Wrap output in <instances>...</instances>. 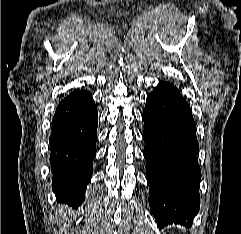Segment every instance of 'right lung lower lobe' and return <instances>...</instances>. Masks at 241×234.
I'll return each mask as SVG.
<instances>
[{"label":"right lung lower lobe","mask_w":241,"mask_h":234,"mask_svg":"<svg viewBox=\"0 0 241 234\" xmlns=\"http://www.w3.org/2000/svg\"><path fill=\"white\" fill-rule=\"evenodd\" d=\"M97 107L92 95L74 90L58 105L49 138L52 190L61 201L79 206L93 172Z\"/></svg>","instance_id":"1"}]
</instances>
